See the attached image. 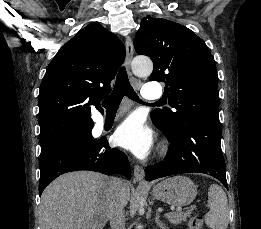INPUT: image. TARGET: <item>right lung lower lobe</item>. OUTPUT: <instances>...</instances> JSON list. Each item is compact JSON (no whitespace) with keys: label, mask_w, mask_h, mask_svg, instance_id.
Listing matches in <instances>:
<instances>
[{"label":"right lung lower lobe","mask_w":261,"mask_h":229,"mask_svg":"<svg viewBox=\"0 0 261 229\" xmlns=\"http://www.w3.org/2000/svg\"><path fill=\"white\" fill-rule=\"evenodd\" d=\"M39 167V195L55 178L71 171L89 170L106 175L120 173L131 177L127 156L116 148L111 149L106 138L94 143L65 142L41 154Z\"/></svg>","instance_id":"1"}]
</instances>
